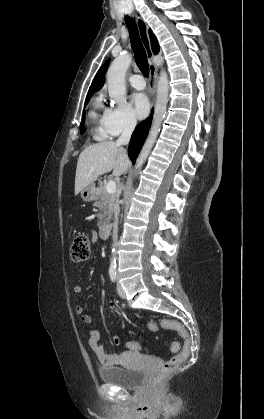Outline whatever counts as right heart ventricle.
Returning a JSON list of instances; mask_svg holds the SVG:
<instances>
[{"label":"right heart ventricle","instance_id":"obj_1","mask_svg":"<svg viewBox=\"0 0 264 419\" xmlns=\"http://www.w3.org/2000/svg\"><path fill=\"white\" fill-rule=\"evenodd\" d=\"M106 111L103 97L99 94L93 99L92 107L89 111L91 134L95 140H104L108 137V133L104 125V116Z\"/></svg>","mask_w":264,"mask_h":419}]
</instances>
